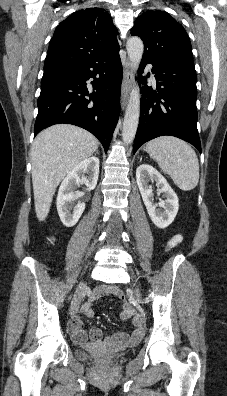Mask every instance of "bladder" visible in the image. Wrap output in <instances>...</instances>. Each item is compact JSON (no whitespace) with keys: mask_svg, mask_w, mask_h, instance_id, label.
<instances>
[{"mask_svg":"<svg viewBox=\"0 0 227 396\" xmlns=\"http://www.w3.org/2000/svg\"><path fill=\"white\" fill-rule=\"evenodd\" d=\"M76 356L77 358L81 359V360H97L95 359L93 356H91L89 353L83 351V350H76ZM118 357H108V358H104L102 359V361L105 362H110L113 361L115 359H117Z\"/></svg>","mask_w":227,"mask_h":396,"instance_id":"1","label":"bladder"}]
</instances>
